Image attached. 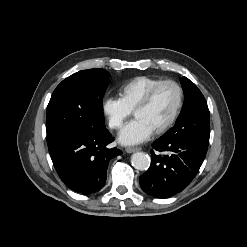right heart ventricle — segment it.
<instances>
[{
	"label": "right heart ventricle",
	"mask_w": 247,
	"mask_h": 247,
	"mask_svg": "<svg viewBox=\"0 0 247 247\" xmlns=\"http://www.w3.org/2000/svg\"><path fill=\"white\" fill-rule=\"evenodd\" d=\"M160 81H162V79L157 77L137 76L126 82L120 88V98L125 106L132 112L146 93Z\"/></svg>",
	"instance_id": "1"
}]
</instances>
